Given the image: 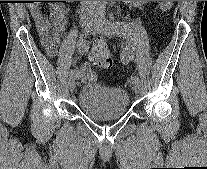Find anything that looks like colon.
<instances>
[{
    "label": "colon",
    "instance_id": "obj_1",
    "mask_svg": "<svg viewBox=\"0 0 207 169\" xmlns=\"http://www.w3.org/2000/svg\"><path fill=\"white\" fill-rule=\"evenodd\" d=\"M173 1H161L160 5L163 10L169 9ZM90 61L96 68L107 69L112 65V59L106 44L99 40L97 41L90 52Z\"/></svg>",
    "mask_w": 207,
    "mask_h": 169
}]
</instances>
